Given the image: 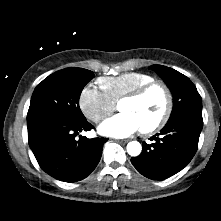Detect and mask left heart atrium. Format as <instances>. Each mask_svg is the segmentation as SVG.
<instances>
[{
	"mask_svg": "<svg viewBox=\"0 0 221 221\" xmlns=\"http://www.w3.org/2000/svg\"><path fill=\"white\" fill-rule=\"evenodd\" d=\"M141 129L138 119L130 113H119L106 121L100 127V133L113 137H128Z\"/></svg>",
	"mask_w": 221,
	"mask_h": 221,
	"instance_id": "39dd6f15",
	"label": "left heart atrium"
}]
</instances>
